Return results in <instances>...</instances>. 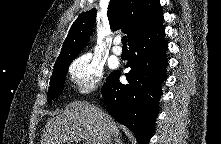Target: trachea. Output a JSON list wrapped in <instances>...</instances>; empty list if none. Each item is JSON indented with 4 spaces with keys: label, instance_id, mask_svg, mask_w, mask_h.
I'll return each instance as SVG.
<instances>
[{
    "label": "trachea",
    "instance_id": "3493384b",
    "mask_svg": "<svg viewBox=\"0 0 221 144\" xmlns=\"http://www.w3.org/2000/svg\"><path fill=\"white\" fill-rule=\"evenodd\" d=\"M122 44H123V47H127V37L126 36L122 37Z\"/></svg>",
    "mask_w": 221,
    "mask_h": 144
}]
</instances>
